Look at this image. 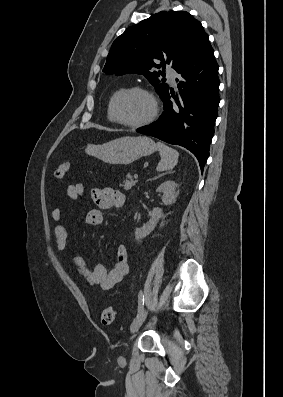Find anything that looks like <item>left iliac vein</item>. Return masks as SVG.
I'll use <instances>...</instances> for the list:
<instances>
[{
  "label": "left iliac vein",
  "instance_id": "left-iliac-vein-1",
  "mask_svg": "<svg viewBox=\"0 0 283 397\" xmlns=\"http://www.w3.org/2000/svg\"><path fill=\"white\" fill-rule=\"evenodd\" d=\"M147 313H148L147 310H143L137 315V317L133 320L131 324L130 327L131 333L136 332L140 328V326L143 324V322L147 317Z\"/></svg>",
  "mask_w": 283,
  "mask_h": 397
}]
</instances>
